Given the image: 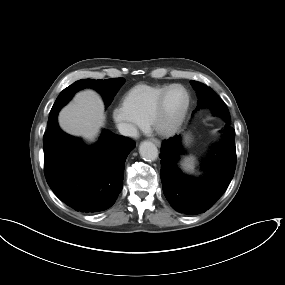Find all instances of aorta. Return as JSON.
<instances>
[{
	"mask_svg": "<svg viewBox=\"0 0 285 285\" xmlns=\"http://www.w3.org/2000/svg\"><path fill=\"white\" fill-rule=\"evenodd\" d=\"M139 154L146 161H155L158 158V149L150 141H143L139 146Z\"/></svg>",
	"mask_w": 285,
	"mask_h": 285,
	"instance_id": "obj_1",
	"label": "aorta"
}]
</instances>
